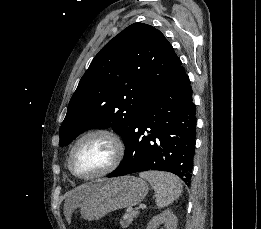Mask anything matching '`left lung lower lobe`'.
Instances as JSON below:
<instances>
[{"label": "left lung lower lobe", "mask_w": 261, "mask_h": 229, "mask_svg": "<svg viewBox=\"0 0 261 229\" xmlns=\"http://www.w3.org/2000/svg\"><path fill=\"white\" fill-rule=\"evenodd\" d=\"M189 77L181 65L159 83L142 105L120 166L107 177L140 171L192 177L196 117Z\"/></svg>", "instance_id": "0a47b994"}]
</instances>
